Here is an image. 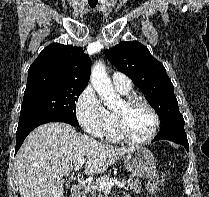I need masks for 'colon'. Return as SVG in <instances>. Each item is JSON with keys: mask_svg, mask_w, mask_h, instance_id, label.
<instances>
[{"mask_svg": "<svg viewBox=\"0 0 209 197\" xmlns=\"http://www.w3.org/2000/svg\"><path fill=\"white\" fill-rule=\"evenodd\" d=\"M165 182V174L161 171H155L152 173L146 184L147 191L150 194H154L159 191Z\"/></svg>", "mask_w": 209, "mask_h": 197, "instance_id": "1", "label": "colon"}]
</instances>
